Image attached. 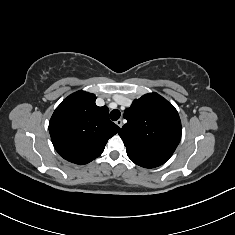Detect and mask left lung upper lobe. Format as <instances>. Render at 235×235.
<instances>
[{
  "label": "left lung upper lobe",
  "mask_w": 235,
  "mask_h": 235,
  "mask_svg": "<svg viewBox=\"0 0 235 235\" xmlns=\"http://www.w3.org/2000/svg\"><path fill=\"white\" fill-rule=\"evenodd\" d=\"M127 123L119 131L128 157L137 165L154 168L164 164L181 139L177 110L157 93L134 100L124 111Z\"/></svg>",
  "instance_id": "1"
}]
</instances>
